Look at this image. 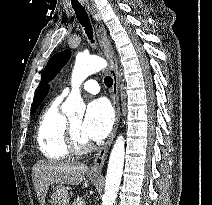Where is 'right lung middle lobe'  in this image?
<instances>
[{
  "mask_svg": "<svg viewBox=\"0 0 212 205\" xmlns=\"http://www.w3.org/2000/svg\"><path fill=\"white\" fill-rule=\"evenodd\" d=\"M37 108H38V106L32 107V109H31L32 113L35 112Z\"/></svg>",
  "mask_w": 212,
  "mask_h": 205,
  "instance_id": "obj_1",
  "label": "right lung middle lobe"
}]
</instances>
